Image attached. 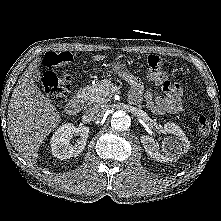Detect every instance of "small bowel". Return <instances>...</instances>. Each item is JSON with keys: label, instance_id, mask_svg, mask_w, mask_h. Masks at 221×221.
Instances as JSON below:
<instances>
[{"label": "small bowel", "instance_id": "small-bowel-1", "mask_svg": "<svg viewBox=\"0 0 221 221\" xmlns=\"http://www.w3.org/2000/svg\"><path fill=\"white\" fill-rule=\"evenodd\" d=\"M122 78L130 85L129 100L134 104L145 101L147 108L155 114H178L183 110L182 87L178 83H168L163 87L164 96H154L151 92L143 91L141 80L128 71L121 73Z\"/></svg>", "mask_w": 221, "mask_h": 221}]
</instances>
